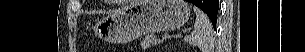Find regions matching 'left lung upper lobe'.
I'll use <instances>...</instances> for the list:
<instances>
[{
  "mask_svg": "<svg viewBox=\"0 0 305 52\" xmlns=\"http://www.w3.org/2000/svg\"><path fill=\"white\" fill-rule=\"evenodd\" d=\"M205 12L207 13V15L209 16L211 22L213 24H215L217 22V13H218V9H206Z\"/></svg>",
  "mask_w": 305,
  "mask_h": 52,
  "instance_id": "1",
  "label": "left lung upper lobe"
}]
</instances>
